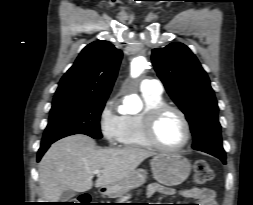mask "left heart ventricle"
<instances>
[{"mask_svg": "<svg viewBox=\"0 0 253 205\" xmlns=\"http://www.w3.org/2000/svg\"><path fill=\"white\" fill-rule=\"evenodd\" d=\"M157 137L167 146L181 144L186 137V129L181 118L174 112L165 114L157 125Z\"/></svg>", "mask_w": 253, "mask_h": 205, "instance_id": "b2bd125f", "label": "left heart ventricle"}]
</instances>
